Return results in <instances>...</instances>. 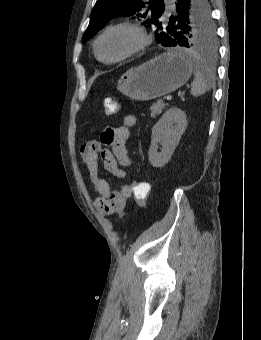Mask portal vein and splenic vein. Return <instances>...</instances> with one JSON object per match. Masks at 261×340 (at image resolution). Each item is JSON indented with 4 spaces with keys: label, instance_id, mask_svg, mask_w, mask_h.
<instances>
[{
    "label": "portal vein and splenic vein",
    "instance_id": "portal-vein-and-splenic-vein-1",
    "mask_svg": "<svg viewBox=\"0 0 261 340\" xmlns=\"http://www.w3.org/2000/svg\"><path fill=\"white\" fill-rule=\"evenodd\" d=\"M163 99H164V101H168V100H171V97L170 96H165Z\"/></svg>",
    "mask_w": 261,
    "mask_h": 340
}]
</instances>
